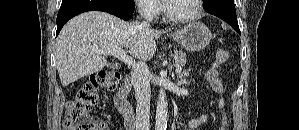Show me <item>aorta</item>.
Returning <instances> with one entry per match:
<instances>
[{"label":"aorta","mask_w":299,"mask_h":130,"mask_svg":"<svg viewBox=\"0 0 299 130\" xmlns=\"http://www.w3.org/2000/svg\"><path fill=\"white\" fill-rule=\"evenodd\" d=\"M167 101L165 91L159 90L157 107H156V126L155 130H166L167 127Z\"/></svg>","instance_id":"1"}]
</instances>
